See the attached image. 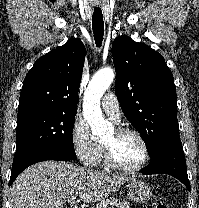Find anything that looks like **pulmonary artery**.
I'll list each match as a JSON object with an SVG mask.
<instances>
[{
  "label": "pulmonary artery",
  "instance_id": "pulmonary-artery-1",
  "mask_svg": "<svg viewBox=\"0 0 199 208\" xmlns=\"http://www.w3.org/2000/svg\"><path fill=\"white\" fill-rule=\"evenodd\" d=\"M101 106L106 114L115 122L120 120V107L116 95L107 93L101 100Z\"/></svg>",
  "mask_w": 199,
  "mask_h": 208
}]
</instances>
